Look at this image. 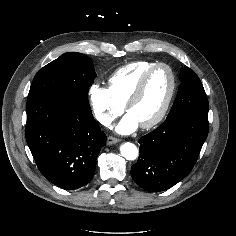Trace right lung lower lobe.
I'll return each mask as SVG.
<instances>
[{"instance_id": "1", "label": "right lung lower lobe", "mask_w": 236, "mask_h": 236, "mask_svg": "<svg viewBox=\"0 0 236 236\" xmlns=\"http://www.w3.org/2000/svg\"><path fill=\"white\" fill-rule=\"evenodd\" d=\"M26 141L40 172L65 190L86 185L106 135L88 103L55 97L27 100Z\"/></svg>"}]
</instances>
